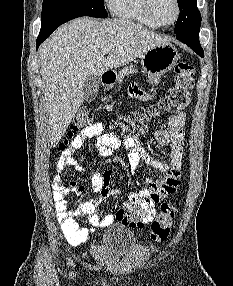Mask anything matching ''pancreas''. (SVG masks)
Wrapping results in <instances>:
<instances>
[{
	"label": "pancreas",
	"mask_w": 233,
	"mask_h": 286,
	"mask_svg": "<svg viewBox=\"0 0 233 286\" xmlns=\"http://www.w3.org/2000/svg\"><path fill=\"white\" fill-rule=\"evenodd\" d=\"M137 71L132 68V67H125L123 69H121L118 73V81L121 82L123 80V78L129 74H132V73H136Z\"/></svg>",
	"instance_id": "pancreas-1"
}]
</instances>
